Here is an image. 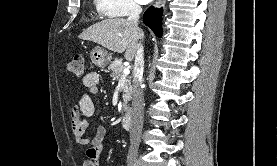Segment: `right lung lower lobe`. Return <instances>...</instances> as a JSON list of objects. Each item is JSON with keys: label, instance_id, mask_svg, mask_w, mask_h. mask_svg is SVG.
Masks as SVG:
<instances>
[{"label": "right lung lower lobe", "instance_id": "98d812e1", "mask_svg": "<svg viewBox=\"0 0 277 166\" xmlns=\"http://www.w3.org/2000/svg\"><path fill=\"white\" fill-rule=\"evenodd\" d=\"M162 9L149 7L143 16V22L153 30L155 35L160 38L162 35Z\"/></svg>", "mask_w": 277, "mask_h": 166}]
</instances>
